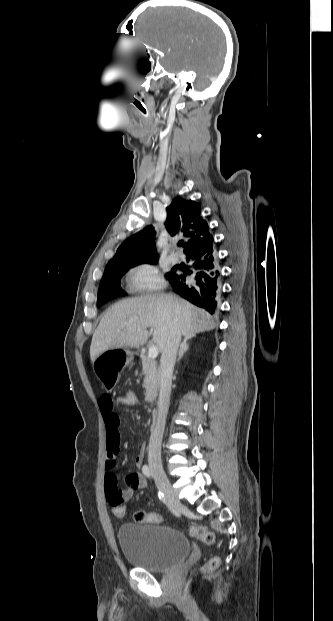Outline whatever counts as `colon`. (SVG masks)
Returning <instances> with one entry per match:
<instances>
[{"mask_svg":"<svg viewBox=\"0 0 333 621\" xmlns=\"http://www.w3.org/2000/svg\"><path fill=\"white\" fill-rule=\"evenodd\" d=\"M121 404L126 407H136L139 405L140 398L137 391L133 388H129L126 392L121 396ZM113 514L117 517H122L124 515V507L116 506L112 509ZM133 519L137 523H160L162 518L160 515L156 513H149L145 511H137L134 513ZM190 535L196 537L203 541L204 543L211 545L215 542V534L209 530L208 528L201 525H192L190 527ZM219 566V558L213 557L211 558L202 568L201 571L205 573H209L217 569ZM185 596V595H184Z\"/></svg>","mask_w":333,"mask_h":621,"instance_id":"1","label":"colon"}]
</instances>
